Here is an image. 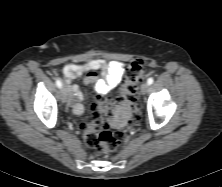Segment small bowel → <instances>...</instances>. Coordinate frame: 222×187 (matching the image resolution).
Wrapping results in <instances>:
<instances>
[{"instance_id":"obj_1","label":"small bowel","mask_w":222,"mask_h":187,"mask_svg":"<svg viewBox=\"0 0 222 187\" xmlns=\"http://www.w3.org/2000/svg\"><path fill=\"white\" fill-rule=\"evenodd\" d=\"M124 70L123 63L103 59H93L83 64H65L62 73L71 95L74 113L82 114L84 110L82 102L86 94L77 85L72 84L73 79L85 75L83 83L92 85L94 90L103 97L111 90L120 88ZM98 72L101 73L102 77L98 76Z\"/></svg>"}]
</instances>
